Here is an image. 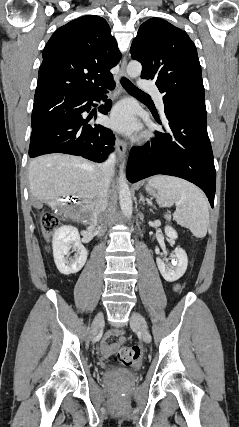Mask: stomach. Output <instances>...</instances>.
<instances>
[{
	"label": "stomach",
	"instance_id": "0dacf381",
	"mask_svg": "<svg viewBox=\"0 0 239 427\" xmlns=\"http://www.w3.org/2000/svg\"><path fill=\"white\" fill-rule=\"evenodd\" d=\"M145 189H146V191H147L148 193H153V192H154L153 187H152V186H150V185H147V186L145 187Z\"/></svg>",
	"mask_w": 239,
	"mask_h": 427
}]
</instances>
